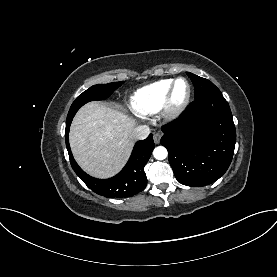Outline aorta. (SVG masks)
I'll list each match as a JSON object with an SVG mask.
<instances>
[{
	"instance_id": "obj_1",
	"label": "aorta",
	"mask_w": 277,
	"mask_h": 277,
	"mask_svg": "<svg viewBox=\"0 0 277 277\" xmlns=\"http://www.w3.org/2000/svg\"><path fill=\"white\" fill-rule=\"evenodd\" d=\"M153 155H154L155 159H157V160H164L167 157L168 152L165 147L158 146L154 149Z\"/></svg>"
}]
</instances>
